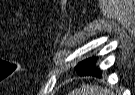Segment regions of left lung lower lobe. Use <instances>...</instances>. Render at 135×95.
Here are the masks:
<instances>
[{
    "label": "left lung lower lobe",
    "mask_w": 135,
    "mask_h": 95,
    "mask_svg": "<svg viewBox=\"0 0 135 95\" xmlns=\"http://www.w3.org/2000/svg\"><path fill=\"white\" fill-rule=\"evenodd\" d=\"M95 61H96L95 57L87 59L85 67L76 70L77 73L80 76L91 75V76L101 77L102 74L101 70L93 66Z\"/></svg>",
    "instance_id": "obj_1"
}]
</instances>
